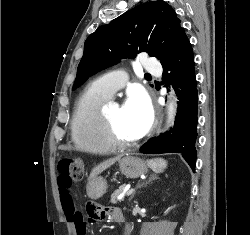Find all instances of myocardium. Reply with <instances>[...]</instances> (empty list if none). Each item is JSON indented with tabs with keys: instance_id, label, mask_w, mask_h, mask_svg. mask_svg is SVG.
Returning a JSON list of instances; mask_svg holds the SVG:
<instances>
[{
	"instance_id": "obj_1",
	"label": "myocardium",
	"mask_w": 250,
	"mask_h": 235,
	"mask_svg": "<svg viewBox=\"0 0 250 235\" xmlns=\"http://www.w3.org/2000/svg\"><path fill=\"white\" fill-rule=\"evenodd\" d=\"M102 116H103V120H104L106 137H107L109 143L113 146V148L120 149V150H127V149L133 148V147L137 146L138 144H140V142H141L140 138H138L137 140H134V141L122 140L117 132L114 121H113L112 117L108 114V112L103 110Z\"/></svg>"
}]
</instances>
